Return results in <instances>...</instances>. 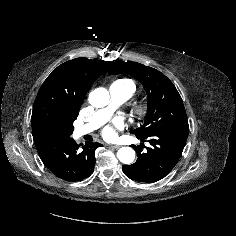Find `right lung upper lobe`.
Wrapping results in <instances>:
<instances>
[{"label": "right lung upper lobe", "mask_w": 236, "mask_h": 236, "mask_svg": "<svg viewBox=\"0 0 236 236\" xmlns=\"http://www.w3.org/2000/svg\"><path fill=\"white\" fill-rule=\"evenodd\" d=\"M110 64V61L76 58L53 70L39 89L33 105V138L69 137L90 85Z\"/></svg>", "instance_id": "cb5924a9"}]
</instances>
